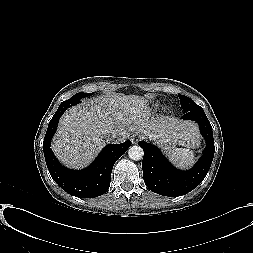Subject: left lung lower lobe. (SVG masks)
<instances>
[{"label": "left lung lower lobe", "mask_w": 253, "mask_h": 253, "mask_svg": "<svg viewBox=\"0 0 253 253\" xmlns=\"http://www.w3.org/2000/svg\"><path fill=\"white\" fill-rule=\"evenodd\" d=\"M181 118L196 121L207 143L203 155L191 170L176 169L156 146L144 141L138 143L144 150L142 161L144 182L151 191L163 196H181L196 188L208 173L214 157L212 127L204 110L200 108L186 111Z\"/></svg>", "instance_id": "1"}]
</instances>
